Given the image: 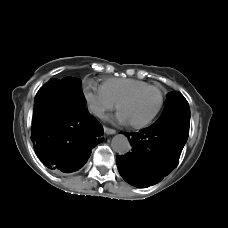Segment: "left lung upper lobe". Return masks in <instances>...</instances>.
<instances>
[{
    "mask_svg": "<svg viewBox=\"0 0 228 228\" xmlns=\"http://www.w3.org/2000/svg\"><path fill=\"white\" fill-rule=\"evenodd\" d=\"M157 122H164L168 125H180V123L189 125L190 108L181 93L171 92L168 94L166 106ZM185 125L180 126L183 127Z\"/></svg>",
    "mask_w": 228,
    "mask_h": 228,
    "instance_id": "5c2ea615",
    "label": "left lung upper lobe"
}]
</instances>
